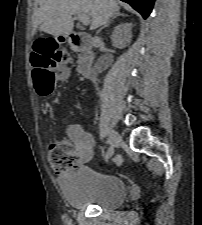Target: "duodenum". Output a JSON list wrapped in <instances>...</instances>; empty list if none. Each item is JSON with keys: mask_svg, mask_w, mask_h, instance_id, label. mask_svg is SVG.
<instances>
[{"mask_svg": "<svg viewBox=\"0 0 202 225\" xmlns=\"http://www.w3.org/2000/svg\"><path fill=\"white\" fill-rule=\"evenodd\" d=\"M57 40L69 44L78 54L80 59L77 66L78 72L85 77H92L94 75V54L90 49L91 44L89 37L84 33L71 31L66 34L58 35Z\"/></svg>", "mask_w": 202, "mask_h": 225, "instance_id": "1", "label": "duodenum"}]
</instances>
